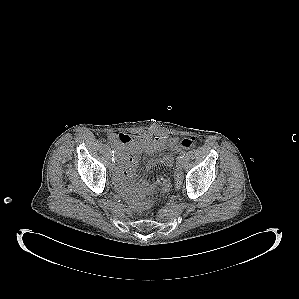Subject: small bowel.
<instances>
[{
  "label": "small bowel",
  "instance_id": "1",
  "mask_svg": "<svg viewBox=\"0 0 299 299\" xmlns=\"http://www.w3.org/2000/svg\"><path fill=\"white\" fill-rule=\"evenodd\" d=\"M109 139L117 148L118 152V169L116 172V180L126 190L137 189L141 193L152 192L155 188L153 184L146 180L140 182L133 181L137 171L138 158L142 153L153 154L161 152L170 147L177 149V139L169 138L164 135H142L132 137L125 133H112ZM174 158L171 154H165L158 158L150 159L146 163V169H152L157 165L171 167ZM157 185L167 191L170 187L168 178L161 177L157 181Z\"/></svg>",
  "mask_w": 299,
  "mask_h": 299
}]
</instances>
